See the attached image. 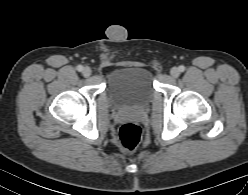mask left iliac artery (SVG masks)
I'll return each mask as SVG.
<instances>
[{"label":"left iliac artery","instance_id":"left-iliac-artery-1","mask_svg":"<svg viewBox=\"0 0 248 195\" xmlns=\"http://www.w3.org/2000/svg\"><path fill=\"white\" fill-rule=\"evenodd\" d=\"M180 72H183L185 70V67L183 65L179 66Z\"/></svg>","mask_w":248,"mask_h":195}]
</instances>
